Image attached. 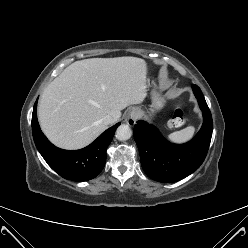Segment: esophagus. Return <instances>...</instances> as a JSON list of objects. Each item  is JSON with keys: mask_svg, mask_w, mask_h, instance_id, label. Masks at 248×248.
I'll return each mask as SVG.
<instances>
[{"mask_svg": "<svg viewBox=\"0 0 248 248\" xmlns=\"http://www.w3.org/2000/svg\"><path fill=\"white\" fill-rule=\"evenodd\" d=\"M138 117H139V111L134 108L130 109L125 117V122L130 126H134Z\"/></svg>", "mask_w": 248, "mask_h": 248, "instance_id": "1", "label": "esophagus"}]
</instances>
